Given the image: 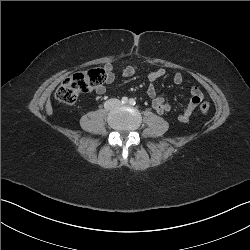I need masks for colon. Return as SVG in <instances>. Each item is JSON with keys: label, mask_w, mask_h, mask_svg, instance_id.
<instances>
[{"label": "colon", "mask_w": 250, "mask_h": 250, "mask_svg": "<svg viewBox=\"0 0 250 250\" xmlns=\"http://www.w3.org/2000/svg\"><path fill=\"white\" fill-rule=\"evenodd\" d=\"M104 82L105 73L101 69L78 72L62 81L55 92V97L61 103L72 104L81 93L89 92ZM199 108L202 113H207L210 104L202 102Z\"/></svg>", "instance_id": "5ec220e1"}]
</instances>
